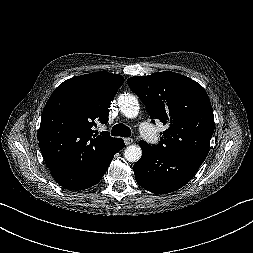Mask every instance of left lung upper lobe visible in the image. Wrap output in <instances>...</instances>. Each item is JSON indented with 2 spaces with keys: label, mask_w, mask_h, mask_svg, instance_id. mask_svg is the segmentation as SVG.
I'll use <instances>...</instances> for the list:
<instances>
[{
  "label": "left lung upper lobe",
  "mask_w": 253,
  "mask_h": 253,
  "mask_svg": "<svg viewBox=\"0 0 253 253\" xmlns=\"http://www.w3.org/2000/svg\"><path fill=\"white\" fill-rule=\"evenodd\" d=\"M130 88L146 105L155 123L160 120L167 129L157 149L170 162L187 158L205 160L214 132V116L204 88L178 73L165 71L127 80Z\"/></svg>",
  "instance_id": "5c2ea615"
}]
</instances>
